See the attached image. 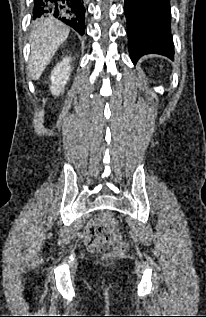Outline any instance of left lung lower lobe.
Masks as SVG:
<instances>
[{
    "mask_svg": "<svg viewBox=\"0 0 206 317\" xmlns=\"http://www.w3.org/2000/svg\"><path fill=\"white\" fill-rule=\"evenodd\" d=\"M124 11L131 60L151 53L173 60L170 0H125Z\"/></svg>",
    "mask_w": 206,
    "mask_h": 317,
    "instance_id": "1",
    "label": "left lung lower lobe"
}]
</instances>
